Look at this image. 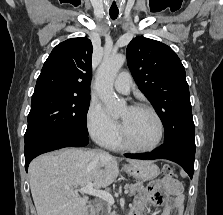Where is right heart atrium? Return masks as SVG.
<instances>
[{"instance_id": "1", "label": "right heart atrium", "mask_w": 223, "mask_h": 215, "mask_svg": "<svg viewBox=\"0 0 223 215\" xmlns=\"http://www.w3.org/2000/svg\"><path fill=\"white\" fill-rule=\"evenodd\" d=\"M86 127L92 137L106 144L119 134V124L112 119L98 101H91L86 112Z\"/></svg>"}]
</instances>
